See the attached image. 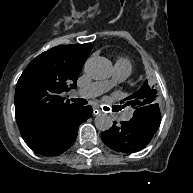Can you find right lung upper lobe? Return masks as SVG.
I'll list each match as a JSON object with an SVG mask.
<instances>
[{
  "label": "right lung upper lobe",
  "mask_w": 193,
  "mask_h": 193,
  "mask_svg": "<svg viewBox=\"0 0 193 193\" xmlns=\"http://www.w3.org/2000/svg\"><path fill=\"white\" fill-rule=\"evenodd\" d=\"M92 44L61 45L33 59L19 78L15 114L23 139L51 135L80 107L61 93L77 87Z\"/></svg>",
  "instance_id": "1"
}]
</instances>
